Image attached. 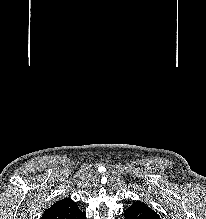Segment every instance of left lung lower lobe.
<instances>
[{"mask_svg":"<svg viewBox=\"0 0 206 219\" xmlns=\"http://www.w3.org/2000/svg\"><path fill=\"white\" fill-rule=\"evenodd\" d=\"M125 219H160L159 215L142 202H134L124 211Z\"/></svg>","mask_w":206,"mask_h":219,"instance_id":"obj_1","label":"left lung lower lobe"}]
</instances>
